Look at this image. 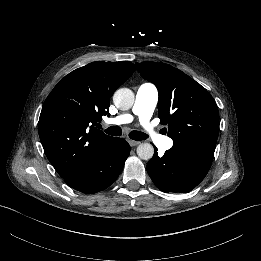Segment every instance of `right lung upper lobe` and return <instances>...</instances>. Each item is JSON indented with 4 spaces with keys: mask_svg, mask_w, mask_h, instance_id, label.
Listing matches in <instances>:
<instances>
[{
    "mask_svg": "<svg viewBox=\"0 0 261 261\" xmlns=\"http://www.w3.org/2000/svg\"><path fill=\"white\" fill-rule=\"evenodd\" d=\"M135 70L128 61H97L65 76L45 100L38 123L45 154L62 178L100 157L114 137L95 128L114 91Z\"/></svg>",
    "mask_w": 261,
    "mask_h": 261,
    "instance_id": "cb5924a9",
    "label": "right lung upper lobe"
}]
</instances>
